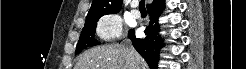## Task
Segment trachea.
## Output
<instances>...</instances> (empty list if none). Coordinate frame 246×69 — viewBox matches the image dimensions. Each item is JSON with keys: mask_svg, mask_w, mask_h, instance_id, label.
Instances as JSON below:
<instances>
[{"mask_svg": "<svg viewBox=\"0 0 246 69\" xmlns=\"http://www.w3.org/2000/svg\"><path fill=\"white\" fill-rule=\"evenodd\" d=\"M139 10L140 11H146V8H145V1L144 0H141L139 2Z\"/></svg>", "mask_w": 246, "mask_h": 69, "instance_id": "3493384b", "label": "trachea"}]
</instances>
